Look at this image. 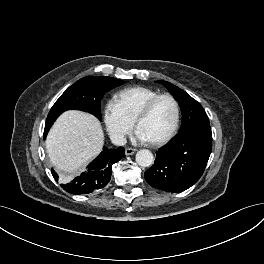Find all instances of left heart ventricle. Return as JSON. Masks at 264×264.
<instances>
[{
    "label": "left heart ventricle",
    "instance_id": "obj_1",
    "mask_svg": "<svg viewBox=\"0 0 264 264\" xmlns=\"http://www.w3.org/2000/svg\"><path fill=\"white\" fill-rule=\"evenodd\" d=\"M174 118L173 102L169 98H162L155 104L151 113L140 122L138 129L145 134L149 141L158 140L169 132Z\"/></svg>",
    "mask_w": 264,
    "mask_h": 264
}]
</instances>
